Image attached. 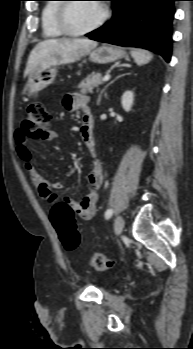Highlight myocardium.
Instances as JSON below:
<instances>
[{
  "label": "myocardium",
  "mask_w": 193,
  "mask_h": 349,
  "mask_svg": "<svg viewBox=\"0 0 193 349\" xmlns=\"http://www.w3.org/2000/svg\"><path fill=\"white\" fill-rule=\"evenodd\" d=\"M68 2H62L61 4H58L57 10H56V15H55V23L57 28L67 36L71 37H78V36H83L86 34H89L98 28H100L109 18V10L105 5H102V15L100 18L90 27L83 29V30H74L72 29L69 24H68V19H67V12L69 7L72 5L73 2H69L72 0H64Z\"/></svg>",
  "instance_id": "myocardium-1"
}]
</instances>
